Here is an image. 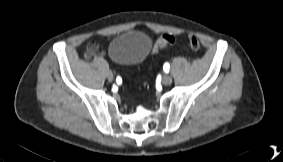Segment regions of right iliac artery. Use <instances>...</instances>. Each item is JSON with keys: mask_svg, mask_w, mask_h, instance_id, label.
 Listing matches in <instances>:
<instances>
[{"mask_svg": "<svg viewBox=\"0 0 283 162\" xmlns=\"http://www.w3.org/2000/svg\"><path fill=\"white\" fill-rule=\"evenodd\" d=\"M117 82L119 85L123 82L121 75L119 73L117 74Z\"/></svg>", "mask_w": 283, "mask_h": 162, "instance_id": "1", "label": "right iliac artery"}]
</instances>
